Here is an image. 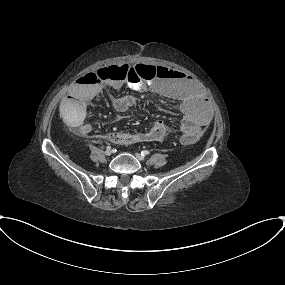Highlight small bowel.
<instances>
[{"label": "small bowel", "mask_w": 285, "mask_h": 285, "mask_svg": "<svg viewBox=\"0 0 285 285\" xmlns=\"http://www.w3.org/2000/svg\"><path fill=\"white\" fill-rule=\"evenodd\" d=\"M119 71L114 78L104 82L82 83L78 80L71 86L70 94L64 97L59 110L62 118L79 126L80 134L89 136L92 127L83 123L89 108V102L95 98L103 87L119 89L125 84L133 90L139 91L146 88L152 89L157 95L177 102L183 116L179 124V134L184 135L193 131L202 134L210 122V111L207 102L199 94L194 80L179 70H167L165 76L148 83L147 85L136 80V76L129 71V66L114 65ZM124 67H127L125 70ZM135 99L131 95H123L113 99L116 108L132 106ZM172 136V128L165 120L158 119L154 124L142 131L112 132L99 135L114 145L126 146L139 143L163 141Z\"/></svg>", "instance_id": "small-bowel-1"}]
</instances>
